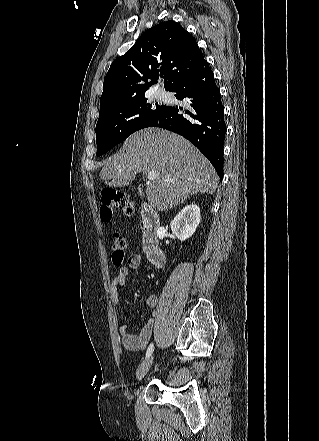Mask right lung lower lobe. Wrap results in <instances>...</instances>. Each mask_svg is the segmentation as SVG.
Listing matches in <instances>:
<instances>
[{
	"label": "right lung lower lobe",
	"instance_id": "1",
	"mask_svg": "<svg viewBox=\"0 0 319 441\" xmlns=\"http://www.w3.org/2000/svg\"><path fill=\"white\" fill-rule=\"evenodd\" d=\"M190 108L166 106L151 126L175 132L192 142L223 177V145L226 134L224 107L214 75L207 63L178 81L170 90Z\"/></svg>",
	"mask_w": 319,
	"mask_h": 441
}]
</instances>
